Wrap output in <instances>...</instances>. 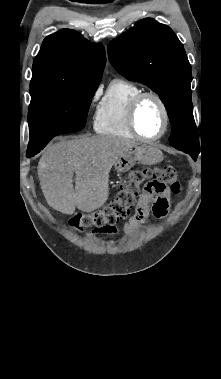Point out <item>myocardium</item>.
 <instances>
[{
  "instance_id": "obj_1",
  "label": "myocardium",
  "mask_w": 221,
  "mask_h": 379,
  "mask_svg": "<svg viewBox=\"0 0 221 379\" xmlns=\"http://www.w3.org/2000/svg\"><path fill=\"white\" fill-rule=\"evenodd\" d=\"M146 98H153L154 100H156L157 103L159 104L161 111H162V114H163L162 130L160 131V133L158 135L153 136V137H147V136L143 135L139 131L138 126H137V122H136L138 108H139L140 104L142 103V101ZM128 124H129V127H130L131 131L133 132V134L136 137H138L144 141H156V140H159L160 138H162L164 136V134L167 132L168 126H169V111H168V108H167L166 103L164 102L163 98L159 94H157L156 92H153V91H143V92H140L139 94H137L131 100L129 107H128Z\"/></svg>"
}]
</instances>
